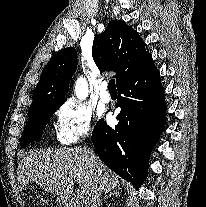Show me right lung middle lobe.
<instances>
[{"mask_svg": "<svg viewBox=\"0 0 206 207\" xmlns=\"http://www.w3.org/2000/svg\"><path fill=\"white\" fill-rule=\"evenodd\" d=\"M62 104L43 105L28 113V122L20 139L22 147H26L29 143L40 139L47 121Z\"/></svg>", "mask_w": 206, "mask_h": 207, "instance_id": "1", "label": "right lung middle lobe"}]
</instances>
